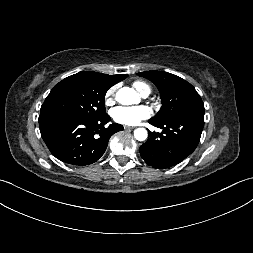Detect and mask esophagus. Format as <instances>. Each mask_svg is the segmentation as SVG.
Masks as SVG:
<instances>
[{"instance_id": "34e87169", "label": "esophagus", "mask_w": 253, "mask_h": 253, "mask_svg": "<svg viewBox=\"0 0 253 253\" xmlns=\"http://www.w3.org/2000/svg\"><path fill=\"white\" fill-rule=\"evenodd\" d=\"M135 127H132V126H124V129L125 130H133Z\"/></svg>"}]
</instances>
